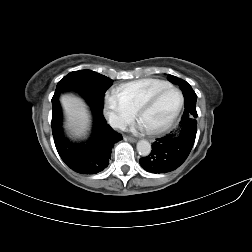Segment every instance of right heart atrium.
Segmentation results:
<instances>
[{"instance_id": "right-heart-atrium-1", "label": "right heart atrium", "mask_w": 252, "mask_h": 252, "mask_svg": "<svg viewBox=\"0 0 252 252\" xmlns=\"http://www.w3.org/2000/svg\"><path fill=\"white\" fill-rule=\"evenodd\" d=\"M109 121L112 126L122 128L135 115V109L119 90H112L105 96Z\"/></svg>"}]
</instances>
